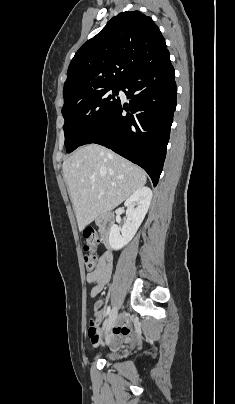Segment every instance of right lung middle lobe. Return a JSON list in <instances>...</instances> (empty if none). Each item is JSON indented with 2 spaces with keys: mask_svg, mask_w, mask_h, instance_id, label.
Instances as JSON below:
<instances>
[{
  "mask_svg": "<svg viewBox=\"0 0 235 404\" xmlns=\"http://www.w3.org/2000/svg\"><path fill=\"white\" fill-rule=\"evenodd\" d=\"M121 87H106L64 103L62 115L67 153L81 146L84 139L118 105L120 98L117 95Z\"/></svg>",
  "mask_w": 235,
  "mask_h": 404,
  "instance_id": "dd1d6c3e",
  "label": "right lung middle lobe"
}]
</instances>
